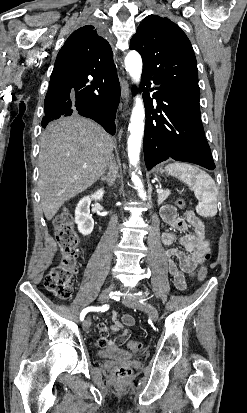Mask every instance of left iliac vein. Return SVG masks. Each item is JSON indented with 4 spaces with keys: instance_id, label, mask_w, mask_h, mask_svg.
Returning <instances> with one entry per match:
<instances>
[{
    "instance_id": "left-iliac-vein-1",
    "label": "left iliac vein",
    "mask_w": 247,
    "mask_h": 413,
    "mask_svg": "<svg viewBox=\"0 0 247 413\" xmlns=\"http://www.w3.org/2000/svg\"><path fill=\"white\" fill-rule=\"evenodd\" d=\"M122 302L125 306L129 308H138L141 311L147 312L149 314V317L153 319L154 321L159 320L158 310L154 306H151L148 303H139L137 301V297L135 296L124 298Z\"/></svg>"
}]
</instances>
